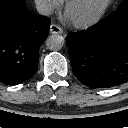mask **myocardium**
Listing matches in <instances>:
<instances>
[{
	"label": "myocardium",
	"instance_id": "f54148a6",
	"mask_svg": "<svg viewBox=\"0 0 128 128\" xmlns=\"http://www.w3.org/2000/svg\"><path fill=\"white\" fill-rule=\"evenodd\" d=\"M79 1L80 0H67L65 5L66 16L70 19L71 23L77 28H87L99 22L105 15V13L108 11L113 2V0H105L102 6L91 16L84 19H72L70 18V12Z\"/></svg>",
	"mask_w": 128,
	"mask_h": 128
}]
</instances>
